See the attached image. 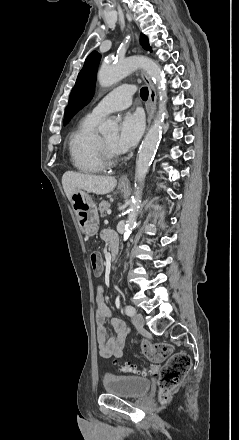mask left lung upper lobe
I'll return each instance as SVG.
<instances>
[{
	"mask_svg": "<svg viewBox=\"0 0 239 440\" xmlns=\"http://www.w3.org/2000/svg\"><path fill=\"white\" fill-rule=\"evenodd\" d=\"M140 43L143 48L152 51L149 46L148 38L144 34L140 36ZM99 61L100 54L97 51L91 52L85 60L84 66L77 77L75 86L69 97V102L65 110L64 125L67 124L77 111L91 100Z\"/></svg>",
	"mask_w": 239,
	"mask_h": 440,
	"instance_id": "5c2ea615",
	"label": "left lung upper lobe"
}]
</instances>
